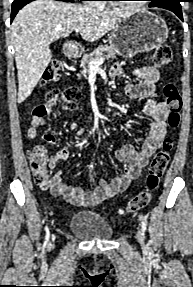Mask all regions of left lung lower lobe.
Masks as SVG:
<instances>
[{
	"label": "left lung lower lobe",
	"instance_id": "left-lung-lower-lobe-1",
	"mask_svg": "<svg viewBox=\"0 0 193 287\" xmlns=\"http://www.w3.org/2000/svg\"><path fill=\"white\" fill-rule=\"evenodd\" d=\"M155 7L164 8V9L174 12L183 21L180 1L167 2V3L157 5Z\"/></svg>",
	"mask_w": 193,
	"mask_h": 287
}]
</instances>
